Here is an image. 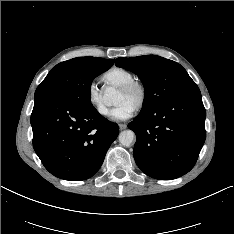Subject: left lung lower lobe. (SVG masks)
<instances>
[{"instance_id":"obj_1","label":"left lung lower lobe","mask_w":234,"mask_h":234,"mask_svg":"<svg viewBox=\"0 0 234 234\" xmlns=\"http://www.w3.org/2000/svg\"><path fill=\"white\" fill-rule=\"evenodd\" d=\"M205 118L197 85L139 113L128 124L137 137L133 155L138 167L159 180L175 179L189 172L206 138Z\"/></svg>"}]
</instances>
